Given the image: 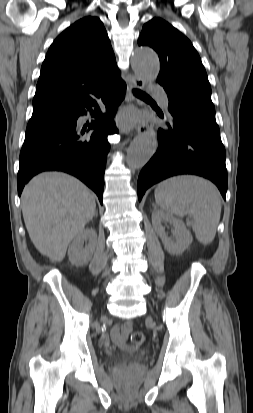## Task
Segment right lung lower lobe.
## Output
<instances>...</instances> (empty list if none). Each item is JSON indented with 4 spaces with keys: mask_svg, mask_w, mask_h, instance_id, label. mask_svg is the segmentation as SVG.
Masks as SVG:
<instances>
[{
    "mask_svg": "<svg viewBox=\"0 0 253 413\" xmlns=\"http://www.w3.org/2000/svg\"><path fill=\"white\" fill-rule=\"evenodd\" d=\"M126 84L117 74L104 88L101 98L106 106L102 113L92 99L73 107L66 120L39 133L25 136L20 152L17 176L18 194L36 174L47 170H58L72 174L83 181L98 196L102 203L104 171L110 144L107 136L116 132L113 117L125 96ZM96 106L95 113L90 110ZM95 120L89 124V135L77 127V119L87 114Z\"/></svg>",
    "mask_w": 253,
    "mask_h": 413,
    "instance_id": "obj_1",
    "label": "right lung lower lobe"
}]
</instances>
